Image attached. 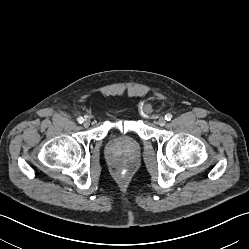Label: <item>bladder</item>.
<instances>
[{
  "instance_id": "bladder-1",
  "label": "bladder",
  "mask_w": 249,
  "mask_h": 249,
  "mask_svg": "<svg viewBox=\"0 0 249 249\" xmlns=\"http://www.w3.org/2000/svg\"><path fill=\"white\" fill-rule=\"evenodd\" d=\"M129 112V109H124L122 112H121V115H125Z\"/></svg>"
}]
</instances>
